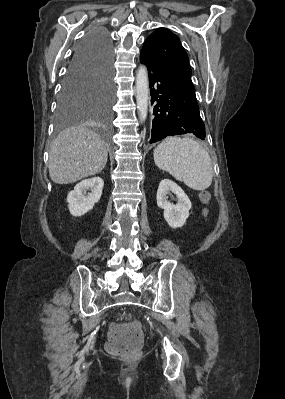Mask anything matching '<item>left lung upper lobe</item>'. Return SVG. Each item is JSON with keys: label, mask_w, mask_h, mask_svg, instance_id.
<instances>
[{"label": "left lung upper lobe", "mask_w": 285, "mask_h": 399, "mask_svg": "<svg viewBox=\"0 0 285 399\" xmlns=\"http://www.w3.org/2000/svg\"><path fill=\"white\" fill-rule=\"evenodd\" d=\"M143 51L177 81L195 93L189 58L179 38L166 28L156 29L144 42Z\"/></svg>", "instance_id": "1"}]
</instances>
